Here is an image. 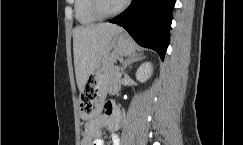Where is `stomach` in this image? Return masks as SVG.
<instances>
[{"mask_svg": "<svg viewBox=\"0 0 243 145\" xmlns=\"http://www.w3.org/2000/svg\"><path fill=\"white\" fill-rule=\"evenodd\" d=\"M134 55L135 46L132 41L125 34H116L101 62L89 75L87 82H84V89L78 97V106H82L80 113L85 119L98 116L105 99L107 84L111 82L109 73L113 63L120 57Z\"/></svg>", "mask_w": 243, "mask_h": 145, "instance_id": "obj_1", "label": "stomach"}]
</instances>
